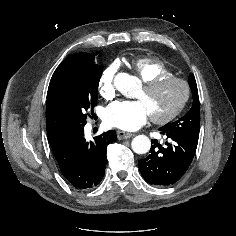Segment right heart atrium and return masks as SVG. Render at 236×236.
Returning <instances> with one entry per match:
<instances>
[{
  "mask_svg": "<svg viewBox=\"0 0 236 236\" xmlns=\"http://www.w3.org/2000/svg\"><path fill=\"white\" fill-rule=\"evenodd\" d=\"M117 69L118 64L112 63L103 70L99 77L98 89L100 94L106 99H111L115 95V75Z\"/></svg>",
  "mask_w": 236,
  "mask_h": 236,
  "instance_id": "right-heart-atrium-1",
  "label": "right heart atrium"
}]
</instances>
